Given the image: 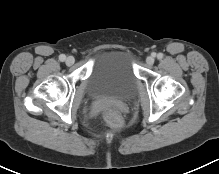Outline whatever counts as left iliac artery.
<instances>
[{
  "mask_svg": "<svg viewBox=\"0 0 219 174\" xmlns=\"http://www.w3.org/2000/svg\"><path fill=\"white\" fill-rule=\"evenodd\" d=\"M157 57H158V58H162V57H163L162 53H159V54L157 55Z\"/></svg>",
  "mask_w": 219,
  "mask_h": 174,
  "instance_id": "44dca946",
  "label": "left iliac artery"
}]
</instances>
